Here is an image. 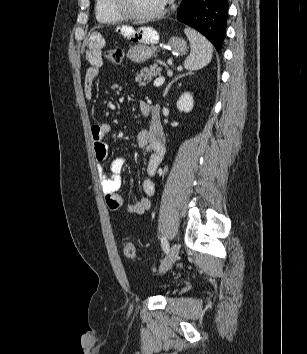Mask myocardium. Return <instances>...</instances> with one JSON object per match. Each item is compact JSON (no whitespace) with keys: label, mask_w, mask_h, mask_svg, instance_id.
Wrapping results in <instances>:
<instances>
[{"label":"myocardium","mask_w":307,"mask_h":354,"mask_svg":"<svg viewBox=\"0 0 307 354\" xmlns=\"http://www.w3.org/2000/svg\"><path fill=\"white\" fill-rule=\"evenodd\" d=\"M111 8L115 14L121 19L126 20H139V21H151L162 17L167 8V0L164 1L162 7L153 13L139 14L130 11L127 8L126 0H110Z\"/></svg>","instance_id":"f54148a6"}]
</instances>
